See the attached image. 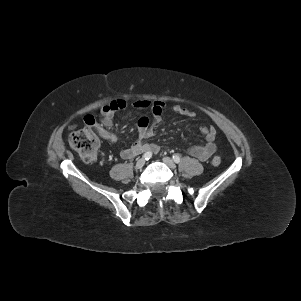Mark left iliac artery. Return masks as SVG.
Masks as SVG:
<instances>
[{
	"instance_id": "44dca946",
	"label": "left iliac artery",
	"mask_w": 301,
	"mask_h": 301,
	"mask_svg": "<svg viewBox=\"0 0 301 301\" xmlns=\"http://www.w3.org/2000/svg\"><path fill=\"white\" fill-rule=\"evenodd\" d=\"M173 160H174L175 163H179V162H180V157H179V155H178V154H174V155H173Z\"/></svg>"
}]
</instances>
